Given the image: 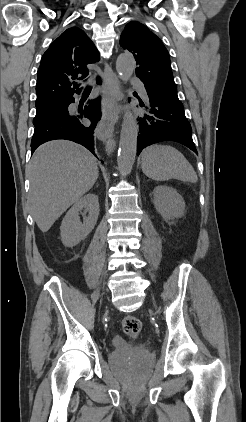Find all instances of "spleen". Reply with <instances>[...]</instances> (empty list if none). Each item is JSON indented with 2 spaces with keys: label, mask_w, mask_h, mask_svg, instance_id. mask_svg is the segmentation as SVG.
Instances as JSON below:
<instances>
[{
  "label": "spleen",
  "mask_w": 246,
  "mask_h": 422,
  "mask_svg": "<svg viewBox=\"0 0 246 422\" xmlns=\"http://www.w3.org/2000/svg\"><path fill=\"white\" fill-rule=\"evenodd\" d=\"M142 171L155 181L178 179L196 183L198 180L194 168L184 155L169 145L147 147L142 153Z\"/></svg>",
  "instance_id": "3e777b00"
}]
</instances>
